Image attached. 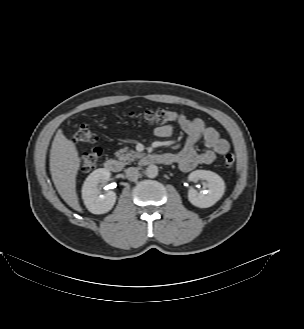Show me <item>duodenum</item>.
Masks as SVG:
<instances>
[{
    "instance_id": "410a0bca",
    "label": "duodenum",
    "mask_w": 304,
    "mask_h": 329,
    "mask_svg": "<svg viewBox=\"0 0 304 329\" xmlns=\"http://www.w3.org/2000/svg\"><path fill=\"white\" fill-rule=\"evenodd\" d=\"M142 162L148 164L170 165L173 163V158L168 154L154 153L144 157ZM104 167L110 172L118 173L122 170V163L115 158H108L104 162Z\"/></svg>"
}]
</instances>
